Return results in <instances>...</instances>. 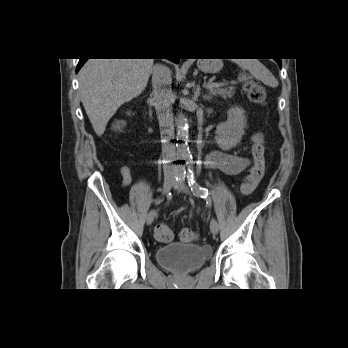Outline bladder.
<instances>
[{
	"label": "bladder",
	"instance_id": "1",
	"mask_svg": "<svg viewBox=\"0 0 348 348\" xmlns=\"http://www.w3.org/2000/svg\"><path fill=\"white\" fill-rule=\"evenodd\" d=\"M211 250L199 244L173 242L156 249L159 264L177 274H188L209 258Z\"/></svg>",
	"mask_w": 348,
	"mask_h": 348
}]
</instances>
